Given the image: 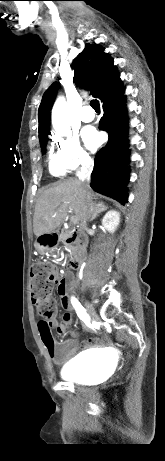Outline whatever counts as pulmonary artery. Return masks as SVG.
<instances>
[{
    "mask_svg": "<svg viewBox=\"0 0 165 461\" xmlns=\"http://www.w3.org/2000/svg\"><path fill=\"white\" fill-rule=\"evenodd\" d=\"M95 117L94 112L89 106H84L80 112V119L83 122H91Z\"/></svg>",
    "mask_w": 165,
    "mask_h": 461,
    "instance_id": "1",
    "label": "pulmonary artery"
}]
</instances>
